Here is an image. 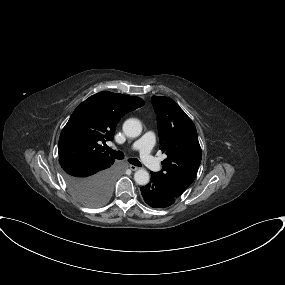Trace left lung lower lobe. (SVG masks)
I'll use <instances>...</instances> for the list:
<instances>
[{
  "mask_svg": "<svg viewBox=\"0 0 285 285\" xmlns=\"http://www.w3.org/2000/svg\"><path fill=\"white\" fill-rule=\"evenodd\" d=\"M140 190L144 201L153 208L168 207L180 196L155 172H151L150 182Z\"/></svg>",
  "mask_w": 285,
  "mask_h": 285,
  "instance_id": "0a47b994",
  "label": "left lung lower lobe"
}]
</instances>
